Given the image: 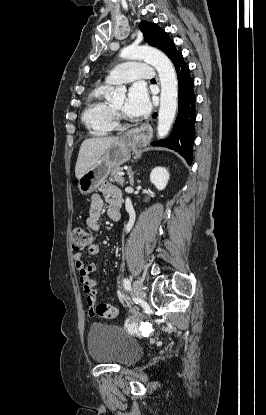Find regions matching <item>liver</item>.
Instances as JSON below:
<instances>
[{"instance_id": "liver-1", "label": "liver", "mask_w": 266, "mask_h": 415, "mask_svg": "<svg viewBox=\"0 0 266 415\" xmlns=\"http://www.w3.org/2000/svg\"><path fill=\"white\" fill-rule=\"evenodd\" d=\"M118 137H93L82 142L75 166V176L79 179L104 154Z\"/></svg>"}]
</instances>
